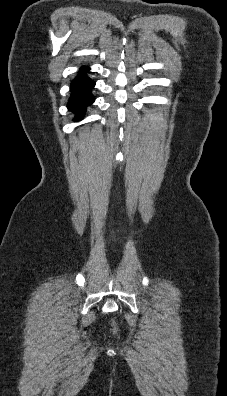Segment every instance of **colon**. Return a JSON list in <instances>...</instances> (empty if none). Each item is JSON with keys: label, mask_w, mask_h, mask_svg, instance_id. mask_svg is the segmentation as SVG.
I'll return each instance as SVG.
<instances>
[{"label": "colon", "mask_w": 227, "mask_h": 396, "mask_svg": "<svg viewBox=\"0 0 227 396\" xmlns=\"http://www.w3.org/2000/svg\"><path fill=\"white\" fill-rule=\"evenodd\" d=\"M113 330H114V332L117 331V325H116V323H113Z\"/></svg>", "instance_id": "1"}]
</instances>
